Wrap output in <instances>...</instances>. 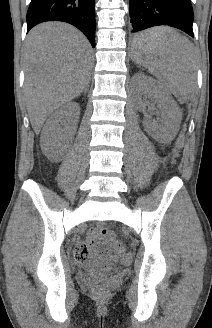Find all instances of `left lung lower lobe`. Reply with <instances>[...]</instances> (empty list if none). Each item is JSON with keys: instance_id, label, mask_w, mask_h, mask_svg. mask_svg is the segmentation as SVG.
Here are the masks:
<instances>
[{"instance_id": "obj_1", "label": "left lung lower lobe", "mask_w": 212, "mask_h": 328, "mask_svg": "<svg viewBox=\"0 0 212 328\" xmlns=\"http://www.w3.org/2000/svg\"><path fill=\"white\" fill-rule=\"evenodd\" d=\"M132 32H138L153 26L168 25L178 28L194 37L193 9L190 0H129ZM135 38L133 47H140Z\"/></svg>"}]
</instances>
